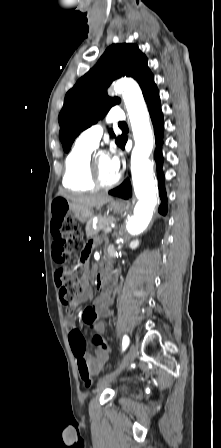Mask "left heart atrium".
Masks as SVG:
<instances>
[{
	"instance_id": "left-heart-atrium-1",
	"label": "left heart atrium",
	"mask_w": 221,
	"mask_h": 448,
	"mask_svg": "<svg viewBox=\"0 0 221 448\" xmlns=\"http://www.w3.org/2000/svg\"><path fill=\"white\" fill-rule=\"evenodd\" d=\"M109 168L118 176L121 169V159L118 153H115L109 157Z\"/></svg>"
}]
</instances>
